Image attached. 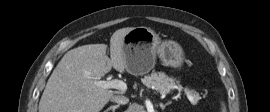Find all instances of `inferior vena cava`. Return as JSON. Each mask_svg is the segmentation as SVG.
Segmentation results:
<instances>
[{"label": "inferior vena cava", "instance_id": "inferior-vena-cava-1", "mask_svg": "<svg viewBox=\"0 0 270 112\" xmlns=\"http://www.w3.org/2000/svg\"><path fill=\"white\" fill-rule=\"evenodd\" d=\"M111 101L118 104H127L129 102V99L123 95H113L111 97Z\"/></svg>", "mask_w": 270, "mask_h": 112}]
</instances>
